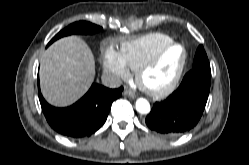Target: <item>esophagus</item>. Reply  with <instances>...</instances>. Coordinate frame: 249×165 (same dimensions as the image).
<instances>
[{"mask_svg": "<svg viewBox=\"0 0 249 165\" xmlns=\"http://www.w3.org/2000/svg\"><path fill=\"white\" fill-rule=\"evenodd\" d=\"M123 93L125 96H128L130 98L136 97V94L131 89H128V88H126Z\"/></svg>", "mask_w": 249, "mask_h": 165, "instance_id": "1", "label": "esophagus"}]
</instances>
